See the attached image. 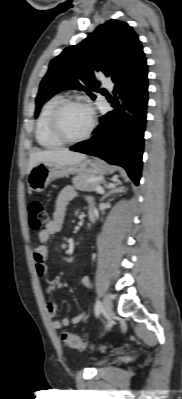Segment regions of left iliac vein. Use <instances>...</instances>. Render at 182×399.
Masks as SVG:
<instances>
[{
  "label": "left iliac vein",
  "mask_w": 182,
  "mask_h": 399,
  "mask_svg": "<svg viewBox=\"0 0 182 399\" xmlns=\"http://www.w3.org/2000/svg\"><path fill=\"white\" fill-rule=\"evenodd\" d=\"M103 309L104 313L107 317V321L112 318L113 315V303L110 295H106L104 298V303H103Z\"/></svg>",
  "instance_id": "obj_1"
}]
</instances>
